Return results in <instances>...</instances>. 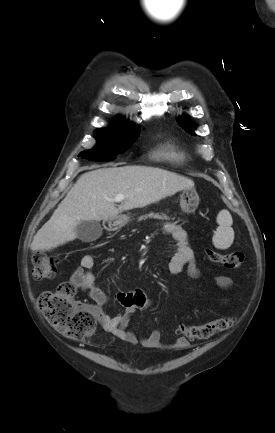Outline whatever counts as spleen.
I'll return each instance as SVG.
<instances>
[{
	"instance_id": "spleen-1",
	"label": "spleen",
	"mask_w": 275,
	"mask_h": 433,
	"mask_svg": "<svg viewBox=\"0 0 275 433\" xmlns=\"http://www.w3.org/2000/svg\"><path fill=\"white\" fill-rule=\"evenodd\" d=\"M216 221L219 226L212 238L213 245L217 249H227L234 240V231L231 227L233 224L232 216L228 210H221Z\"/></svg>"
}]
</instances>
